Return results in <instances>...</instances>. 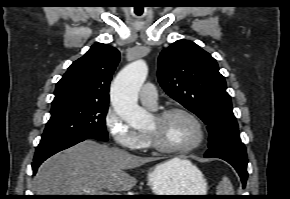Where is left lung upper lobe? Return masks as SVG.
<instances>
[{
    "label": "left lung upper lobe",
    "instance_id": "left-lung-upper-lobe-1",
    "mask_svg": "<svg viewBox=\"0 0 290 199\" xmlns=\"http://www.w3.org/2000/svg\"><path fill=\"white\" fill-rule=\"evenodd\" d=\"M165 92L207 124L209 149L241 142L226 82L216 60L197 44L178 40L158 59Z\"/></svg>",
    "mask_w": 290,
    "mask_h": 199
}]
</instances>
